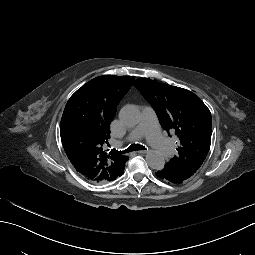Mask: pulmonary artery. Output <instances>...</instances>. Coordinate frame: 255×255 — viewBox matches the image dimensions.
<instances>
[{
  "label": "pulmonary artery",
  "mask_w": 255,
  "mask_h": 255,
  "mask_svg": "<svg viewBox=\"0 0 255 255\" xmlns=\"http://www.w3.org/2000/svg\"><path fill=\"white\" fill-rule=\"evenodd\" d=\"M155 117L156 114L154 111L149 108H144L142 114L143 119L139 122L138 127L130 133L128 141L138 140L145 136L151 145H153L164 158L172 160L176 156L174 147L168 140L163 139L161 133H159V126ZM121 145L122 142L119 140L111 142L113 148H119Z\"/></svg>",
  "instance_id": "pulmonary-artery-1"
}]
</instances>
